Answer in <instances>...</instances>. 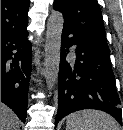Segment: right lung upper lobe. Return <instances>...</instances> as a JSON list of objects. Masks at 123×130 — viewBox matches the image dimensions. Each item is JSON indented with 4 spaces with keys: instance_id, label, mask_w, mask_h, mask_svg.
<instances>
[{
    "instance_id": "obj_1",
    "label": "right lung upper lobe",
    "mask_w": 123,
    "mask_h": 130,
    "mask_svg": "<svg viewBox=\"0 0 123 130\" xmlns=\"http://www.w3.org/2000/svg\"><path fill=\"white\" fill-rule=\"evenodd\" d=\"M28 9L29 0H1V34L26 29Z\"/></svg>"
}]
</instances>
